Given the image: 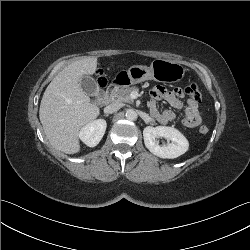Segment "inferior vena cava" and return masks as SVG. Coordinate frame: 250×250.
Here are the masks:
<instances>
[{
	"label": "inferior vena cava",
	"mask_w": 250,
	"mask_h": 250,
	"mask_svg": "<svg viewBox=\"0 0 250 250\" xmlns=\"http://www.w3.org/2000/svg\"><path fill=\"white\" fill-rule=\"evenodd\" d=\"M121 107H122L121 103L113 102L104 108V112L106 114H112L114 112H117Z\"/></svg>",
	"instance_id": "602c4592"
}]
</instances>
